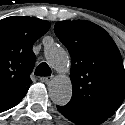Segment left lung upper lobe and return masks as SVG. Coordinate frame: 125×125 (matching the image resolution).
I'll list each match as a JSON object with an SVG mask.
<instances>
[{
  "label": "left lung upper lobe",
  "instance_id": "1",
  "mask_svg": "<svg viewBox=\"0 0 125 125\" xmlns=\"http://www.w3.org/2000/svg\"><path fill=\"white\" fill-rule=\"evenodd\" d=\"M54 31L71 56L70 110H117L125 98V70L118 47L100 26L85 20L56 22Z\"/></svg>",
  "mask_w": 125,
  "mask_h": 125
}]
</instances>
